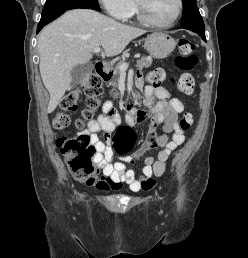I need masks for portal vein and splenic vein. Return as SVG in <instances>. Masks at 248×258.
Here are the masks:
<instances>
[{
	"instance_id": "obj_1",
	"label": "portal vein and splenic vein",
	"mask_w": 248,
	"mask_h": 258,
	"mask_svg": "<svg viewBox=\"0 0 248 258\" xmlns=\"http://www.w3.org/2000/svg\"><path fill=\"white\" fill-rule=\"evenodd\" d=\"M100 52V47H95L93 49V53H99ZM134 58L138 59L140 58V55H135ZM129 63H123L120 65L119 69L122 73H124L128 69Z\"/></svg>"
}]
</instances>
